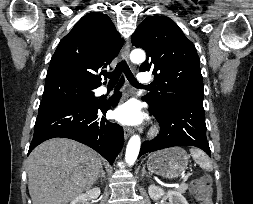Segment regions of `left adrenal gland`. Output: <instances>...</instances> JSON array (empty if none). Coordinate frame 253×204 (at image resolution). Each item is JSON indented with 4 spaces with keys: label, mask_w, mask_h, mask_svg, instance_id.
<instances>
[{
    "label": "left adrenal gland",
    "mask_w": 253,
    "mask_h": 204,
    "mask_svg": "<svg viewBox=\"0 0 253 204\" xmlns=\"http://www.w3.org/2000/svg\"><path fill=\"white\" fill-rule=\"evenodd\" d=\"M144 175H146L147 177H150V174L147 173L146 170H145V165L142 168V175L141 176L143 177Z\"/></svg>",
    "instance_id": "1"
}]
</instances>
